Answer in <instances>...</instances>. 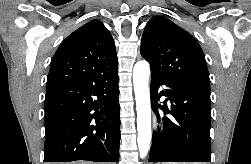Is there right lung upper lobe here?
Wrapping results in <instances>:
<instances>
[{
  "instance_id": "right-lung-upper-lobe-1",
  "label": "right lung upper lobe",
  "mask_w": 251,
  "mask_h": 164,
  "mask_svg": "<svg viewBox=\"0 0 251 164\" xmlns=\"http://www.w3.org/2000/svg\"><path fill=\"white\" fill-rule=\"evenodd\" d=\"M114 40L99 20L90 21L59 46L52 58L46 90L117 67Z\"/></svg>"
}]
</instances>
